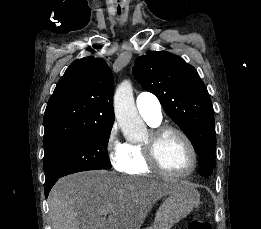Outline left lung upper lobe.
Returning a JSON list of instances; mask_svg holds the SVG:
<instances>
[{
    "label": "left lung upper lobe",
    "instance_id": "1",
    "mask_svg": "<svg viewBox=\"0 0 261 229\" xmlns=\"http://www.w3.org/2000/svg\"><path fill=\"white\" fill-rule=\"evenodd\" d=\"M133 74L188 136L199 158L200 175H211L216 149L214 112L195 68L172 53L152 51L136 59Z\"/></svg>",
    "mask_w": 261,
    "mask_h": 229
}]
</instances>
